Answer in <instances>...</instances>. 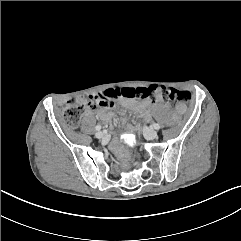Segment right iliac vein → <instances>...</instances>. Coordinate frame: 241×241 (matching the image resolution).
Masks as SVG:
<instances>
[{"label":"right iliac vein","mask_w":241,"mask_h":241,"mask_svg":"<svg viewBox=\"0 0 241 241\" xmlns=\"http://www.w3.org/2000/svg\"><path fill=\"white\" fill-rule=\"evenodd\" d=\"M95 136H96V138L101 139V138H103L105 136V134L103 132H97L95 134Z\"/></svg>","instance_id":"right-iliac-vein-1"}]
</instances>
